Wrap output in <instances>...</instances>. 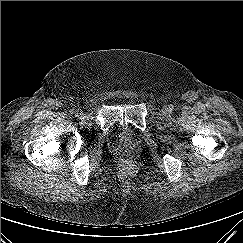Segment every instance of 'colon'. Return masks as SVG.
Here are the masks:
<instances>
[{
    "label": "colon",
    "instance_id": "obj_1",
    "mask_svg": "<svg viewBox=\"0 0 243 243\" xmlns=\"http://www.w3.org/2000/svg\"><path fill=\"white\" fill-rule=\"evenodd\" d=\"M124 163L126 166H130L132 164V162L130 160H125Z\"/></svg>",
    "mask_w": 243,
    "mask_h": 243
}]
</instances>
